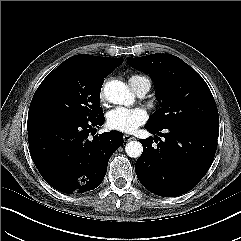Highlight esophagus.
Segmentation results:
<instances>
[{
  "instance_id": "esophagus-1",
  "label": "esophagus",
  "mask_w": 241,
  "mask_h": 241,
  "mask_svg": "<svg viewBox=\"0 0 241 241\" xmlns=\"http://www.w3.org/2000/svg\"><path fill=\"white\" fill-rule=\"evenodd\" d=\"M134 139H135V137L130 136V135H127V134H125V135L123 136V140H124L125 142L131 141V140H134Z\"/></svg>"
}]
</instances>
